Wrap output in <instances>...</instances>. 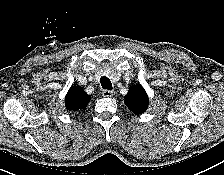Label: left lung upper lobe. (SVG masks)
I'll use <instances>...</instances> for the list:
<instances>
[{"label":"left lung upper lobe","mask_w":224,"mask_h":175,"mask_svg":"<svg viewBox=\"0 0 224 175\" xmlns=\"http://www.w3.org/2000/svg\"><path fill=\"white\" fill-rule=\"evenodd\" d=\"M124 98V103L134 114H141L147 110L149 99L141 85L131 86Z\"/></svg>","instance_id":"1"}]
</instances>
